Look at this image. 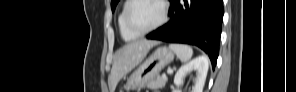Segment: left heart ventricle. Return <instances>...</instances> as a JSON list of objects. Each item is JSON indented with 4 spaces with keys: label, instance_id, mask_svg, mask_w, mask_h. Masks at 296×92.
<instances>
[{
    "label": "left heart ventricle",
    "instance_id": "1",
    "mask_svg": "<svg viewBox=\"0 0 296 92\" xmlns=\"http://www.w3.org/2000/svg\"><path fill=\"white\" fill-rule=\"evenodd\" d=\"M161 17V7L153 0L137 2L130 12V21L137 30H146L158 22Z\"/></svg>",
    "mask_w": 296,
    "mask_h": 92
}]
</instances>
